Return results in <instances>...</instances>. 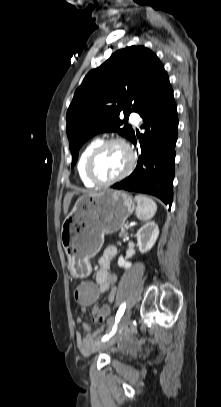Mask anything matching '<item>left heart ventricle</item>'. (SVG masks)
I'll return each mask as SVG.
<instances>
[{"label": "left heart ventricle", "instance_id": "obj_1", "mask_svg": "<svg viewBox=\"0 0 221 407\" xmlns=\"http://www.w3.org/2000/svg\"><path fill=\"white\" fill-rule=\"evenodd\" d=\"M128 165L126 150L117 144L104 149L94 163V173L101 180L112 179L121 174Z\"/></svg>", "mask_w": 221, "mask_h": 407}]
</instances>
